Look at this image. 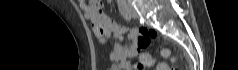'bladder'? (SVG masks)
<instances>
[{
	"label": "bladder",
	"mask_w": 238,
	"mask_h": 70,
	"mask_svg": "<svg viewBox=\"0 0 238 70\" xmlns=\"http://www.w3.org/2000/svg\"><path fill=\"white\" fill-rule=\"evenodd\" d=\"M110 70H122V69L118 67H111Z\"/></svg>",
	"instance_id": "31cf9c89"
}]
</instances>
